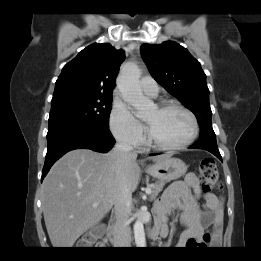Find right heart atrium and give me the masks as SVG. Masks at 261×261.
<instances>
[{
    "mask_svg": "<svg viewBox=\"0 0 261 261\" xmlns=\"http://www.w3.org/2000/svg\"><path fill=\"white\" fill-rule=\"evenodd\" d=\"M109 125L113 136L123 145L139 147L143 144L144 127L124 103L116 102L113 105Z\"/></svg>",
    "mask_w": 261,
    "mask_h": 261,
    "instance_id": "right-heart-atrium-1",
    "label": "right heart atrium"
}]
</instances>
